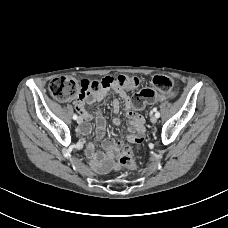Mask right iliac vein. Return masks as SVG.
<instances>
[{
	"label": "right iliac vein",
	"instance_id": "right-iliac-vein-1",
	"mask_svg": "<svg viewBox=\"0 0 228 228\" xmlns=\"http://www.w3.org/2000/svg\"><path fill=\"white\" fill-rule=\"evenodd\" d=\"M77 123H78V124H81V123H82V118H81V117H78V118H77Z\"/></svg>",
	"mask_w": 228,
	"mask_h": 228
}]
</instances>
